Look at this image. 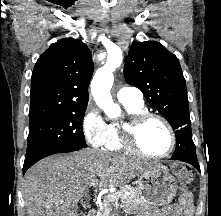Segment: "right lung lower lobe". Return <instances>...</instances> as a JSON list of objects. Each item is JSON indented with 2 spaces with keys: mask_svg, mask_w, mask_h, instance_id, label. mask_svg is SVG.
<instances>
[{
  "mask_svg": "<svg viewBox=\"0 0 221 216\" xmlns=\"http://www.w3.org/2000/svg\"><path fill=\"white\" fill-rule=\"evenodd\" d=\"M72 151H77V150H68V151H64V152H61V153H65V152H72ZM33 164H24V166H23V173H25L26 172V170L30 167V166H32Z\"/></svg>",
  "mask_w": 221,
  "mask_h": 216,
  "instance_id": "obj_1",
  "label": "right lung lower lobe"
}]
</instances>
